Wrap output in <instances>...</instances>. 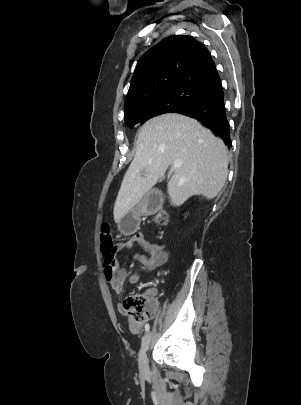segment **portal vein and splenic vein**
Returning a JSON list of instances; mask_svg holds the SVG:
<instances>
[{"instance_id":"1","label":"portal vein and splenic vein","mask_w":301,"mask_h":405,"mask_svg":"<svg viewBox=\"0 0 301 405\" xmlns=\"http://www.w3.org/2000/svg\"><path fill=\"white\" fill-rule=\"evenodd\" d=\"M181 165V162L179 161V160H175L174 162H173V166L174 167H179Z\"/></svg>"}]
</instances>
